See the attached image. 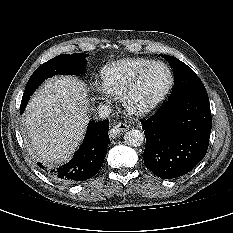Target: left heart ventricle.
I'll list each match as a JSON object with an SVG mask.
<instances>
[{
  "mask_svg": "<svg viewBox=\"0 0 233 233\" xmlns=\"http://www.w3.org/2000/svg\"><path fill=\"white\" fill-rule=\"evenodd\" d=\"M169 81L167 70L162 66L152 67L142 78L131 96L134 107H143L154 101L165 89Z\"/></svg>",
  "mask_w": 233,
  "mask_h": 233,
  "instance_id": "1",
  "label": "left heart ventricle"
}]
</instances>
